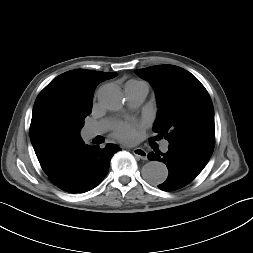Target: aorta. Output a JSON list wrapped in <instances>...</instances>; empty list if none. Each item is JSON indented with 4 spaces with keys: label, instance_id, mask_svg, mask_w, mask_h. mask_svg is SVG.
<instances>
[{
    "label": "aorta",
    "instance_id": "1",
    "mask_svg": "<svg viewBox=\"0 0 253 253\" xmlns=\"http://www.w3.org/2000/svg\"><path fill=\"white\" fill-rule=\"evenodd\" d=\"M99 104L110 111H118L124 104L122 91L114 85H106L98 91ZM143 178L151 185L162 184L168 176L166 165L158 161H150L142 168Z\"/></svg>",
    "mask_w": 253,
    "mask_h": 253
}]
</instances>
